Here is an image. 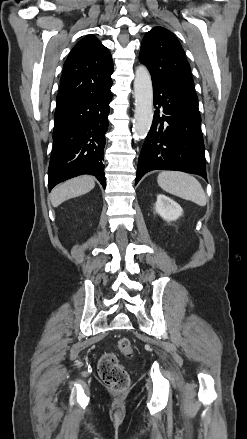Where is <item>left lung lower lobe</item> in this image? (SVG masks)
<instances>
[{"label":"left lung lower lobe","mask_w":247,"mask_h":439,"mask_svg":"<svg viewBox=\"0 0 247 439\" xmlns=\"http://www.w3.org/2000/svg\"><path fill=\"white\" fill-rule=\"evenodd\" d=\"M153 96L156 110L139 156L135 185L156 169L184 171L206 179L198 102L156 81Z\"/></svg>","instance_id":"left-lung-lower-lobe-1"}]
</instances>
